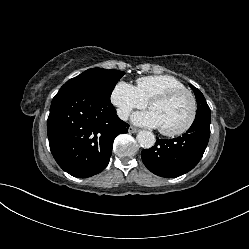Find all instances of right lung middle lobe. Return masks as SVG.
I'll return each instance as SVG.
<instances>
[{"label": "right lung middle lobe", "mask_w": 249, "mask_h": 249, "mask_svg": "<svg viewBox=\"0 0 249 249\" xmlns=\"http://www.w3.org/2000/svg\"><path fill=\"white\" fill-rule=\"evenodd\" d=\"M124 74V72L118 70L91 68L68 80L62 87L80 88L89 91L99 99L110 102L111 93Z\"/></svg>", "instance_id": "right-lung-middle-lobe-1"}]
</instances>
